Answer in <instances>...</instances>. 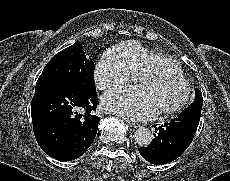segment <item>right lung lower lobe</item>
I'll list each match as a JSON object with an SVG mask.
<instances>
[{
  "label": "right lung lower lobe",
  "instance_id": "98d812e1",
  "mask_svg": "<svg viewBox=\"0 0 230 181\" xmlns=\"http://www.w3.org/2000/svg\"><path fill=\"white\" fill-rule=\"evenodd\" d=\"M97 94L73 86L35 89L31 115L35 138L44 152L60 161H71L93 143L99 117Z\"/></svg>",
  "mask_w": 230,
  "mask_h": 181
}]
</instances>
